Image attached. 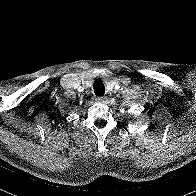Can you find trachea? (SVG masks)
Instances as JSON below:
<instances>
[{"instance_id": "obj_1", "label": "trachea", "mask_w": 196, "mask_h": 196, "mask_svg": "<svg viewBox=\"0 0 196 196\" xmlns=\"http://www.w3.org/2000/svg\"><path fill=\"white\" fill-rule=\"evenodd\" d=\"M94 93L102 96L105 93V86L101 79H96L93 84Z\"/></svg>"}]
</instances>
